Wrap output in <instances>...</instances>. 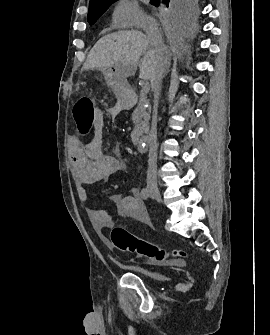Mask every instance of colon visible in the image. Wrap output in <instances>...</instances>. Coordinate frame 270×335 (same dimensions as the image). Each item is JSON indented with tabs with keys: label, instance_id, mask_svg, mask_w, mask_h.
Instances as JSON below:
<instances>
[{
	"label": "colon",
	"instance_id": "colon-1",
	"mask_svg": "<svg viewBox=\"0 0 270 335\" xmlns=\"http://www.w3.org/2000/svg\"><path fill=\"white\" fill-rule=\"evenodd\" d=\"M75 106L80 109L74 110L77 133L82 136L89 135L94 123L95 104L92 100L83 98ZM110 238L118 250L134 253L159 264L168 262L176 266H183L187 260H192L184 249L162 248L157 244L136 236L125 228H113Z\"/></svg>",
	"mask_w": 270,
	"mask_h": 335
}]
</instances>
